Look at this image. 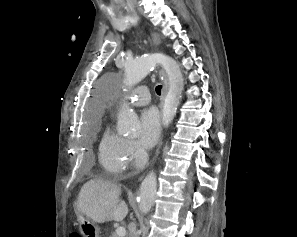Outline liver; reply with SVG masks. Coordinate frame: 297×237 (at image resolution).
Segmentation results:
<instances>
[{
    "label": "liver",
    "mask_w": 297,
    "mask_h": 237,
    "mask_svg": "<svg viewBox=\"0 0 297 237\" xmlns=\"http://www.w3.org/2000/svg\"><path fill=\"white\" fill-rule=\"evenodd\" d=\"M121 189L103 180H90L80 190L76 210L95 223L122 221L128 214V206L120 200Z\"/></svg>",
    "instance_id": "1"
}]
</instances>
